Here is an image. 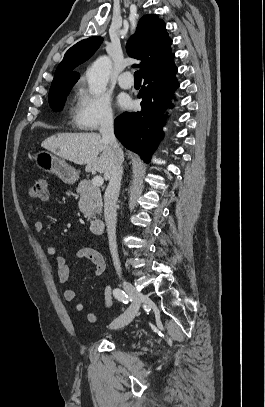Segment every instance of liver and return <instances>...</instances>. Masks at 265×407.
I'll use <instances>...</instances> for the list:
<instances>
[{"mask_svg": "<svg viewBox=\"0 0 265 407\" xmlns=\"http://www.w3.org/2000/svg\"><path fill=\"white\" fill-rule=\"evenodd\" d=\"M41 146L63 159L86 165V171L103 173L106 180L115 165L113 149L95 132L58 133L45 139Z\"/></svg>", "mask_w": 265, "mask_h": 407, "instance_id": "6515ba94", "label": "liver"}]
</instances>
